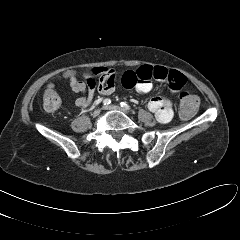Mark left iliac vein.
I'll list each match as a JSON object with an SVG mask.
<instances>
[{"label": "left iliac vein", "mask_w": 240, "mask_h": 240, "mask_svg": "<svg viewBox=\"0 0 240 240\" xmlns=\"http://www.w3.org/2000/svg\"><path fill=\"white\" fill-rule=\"evenodd\" d=\"M104 109H105V110L120 111V112H123V113L127 114V112H126L123 108H121V107H119V106H116V105L106 106V107H104Z\"/></svg>", "instance_id": "obj_1"}]
</instances>
